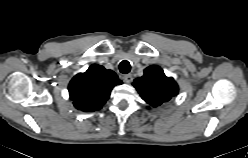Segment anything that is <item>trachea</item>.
Instances as JSON below:
<instances>
[{
    "label": "trachea",
    "instance_id": "1",
    "mask_svg": "<svg viewBox=\"0 0 248 158\" xmlns=\"http://www.w3.org/2000/svg\"><path fill=\"white\" fill-rule=\"evenodd\" d=\"M119 69L121 73L127 74L130 72L131 70V66L130 63L127 60H123L120 65H119Z\"/></svg>",
    "mask_w": 248,
    "mask_h": 158
}]
</instances>
